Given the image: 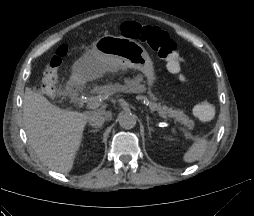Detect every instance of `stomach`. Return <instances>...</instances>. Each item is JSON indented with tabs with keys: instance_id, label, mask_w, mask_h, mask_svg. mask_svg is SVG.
<instances>
[{
	"instance_id": "1",
	"label": "stomach",
	"mask_w": 254,
	"mask_h": 216,
	"mask_svg": "<svg viewBox=\"0 0 254 216\" xmlns=\"http://www.w3.org/2000/svg\"><path fill=\"white\" fill-rule=\"evenodd\" d=\"M106 61L118 62L122 69H134L139 72L130 82L139 83L143 77L149 86L157 80L153 61L146 49L134 40L115 36H104L97 40L91 49L80 59L73 77L75 80H86L101 73Z\"/></svg>"
}]
</instances>
